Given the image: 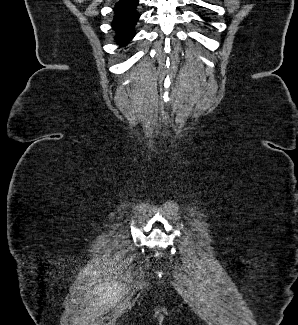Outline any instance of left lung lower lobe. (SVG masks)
I'll return each mask as SVG.
<instances>
[{"instance_id":"1","label":"left lung lower lobe","mask_w":298,"mask_h":325,"mask_svg":"<svg viewBox=\"0 0 298 325\" xmlns=\"http://www.w3.org/2000/svg\"><path fill=\"white\" fill-rule=\"evenodd\" d=\"M203 19H204L205 21L210 20V18H208V17H203Z\"/></svg>"}]
</instances>
